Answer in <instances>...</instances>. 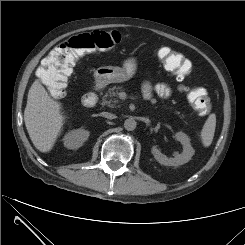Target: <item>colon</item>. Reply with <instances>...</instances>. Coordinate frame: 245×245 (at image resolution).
Here are the masks:
<instances>
[{
    "label": "colon",
    "instance_id": "5ec220e1",
    "mask_svg": "<svg viewBox=\"0 0 245 245\" xmlns=\"http://www.w3.org/2000/svg\"><path fill=\"white\" fill-rule=\"evenodd\" d=\"M121 35L116 31H94L71 37L55 47L45 58L39 70V76L54 96L64 95L68 78L77 60L93 51H105L117 47ZM165 66L179 79L189 73L186 59L173 51H165L160 57ZM188 100L194 110L201 116L212 111V103L204 87H194L188 91Z\"/></svg>",
    "mask_w": 245,
    "mask_h": 245
}]
</instances>
